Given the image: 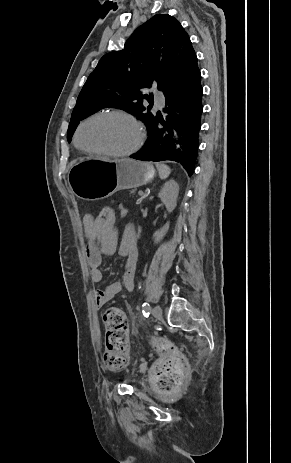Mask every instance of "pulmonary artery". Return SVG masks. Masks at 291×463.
<instances>
[{
  "instance_id": "pulmonary-artery-1",
  "label": "pulmonary artery",
  "mask_w": 291,
  "mask_h": 463,
  "mask_svg": "<svg viewBox=\"0 0 291 463\" xmlns=\"http://www.w3.org/2000/svg\"><path fill=\"white\" fill-rule=\"evenodd\" d=\"M154 99L155 102L159 105L162 106L164 104V97L160 92H155L154 93Z\"/></svg>"
}]
</instances>
